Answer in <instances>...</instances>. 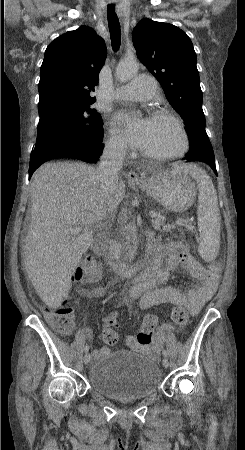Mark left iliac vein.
Segmentation results:
<instances>
[{
	"instance_id": "left-iliac-vein-1",
	"label": "left iliac vein",
	"mask_w": 245,
	"mask_h": 450,
	"mask_svg": "<svg viewBox=\"0 0 245 450\" xmlns=\"http://www.w3.org/2000/svg\"><path fill=\"white\" fill-rule=\"evenodd\" d=\"M162 363H163L164 368H168L169 367V361H168V359L166 357L163 359Z\"/></svg>"
}]
</instances>
